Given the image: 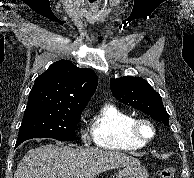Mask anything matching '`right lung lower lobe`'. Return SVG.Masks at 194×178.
<instances>
[{"instance_id": "right-lung-lower-lobe-1", "label": "right lung lower lobe", "mask_w": 194, "mask_h": 178, "mask_svg": "<svg viewBox=\"0 0 194 178\" xmlns=\"http://www.w3.org/2000/svg\"><path fill=\"white\" fill-rule=\"evenodd\" d=\"M22 142H24V141H17L15 147L19 146Z\"/></svg>"}]
</instances>
